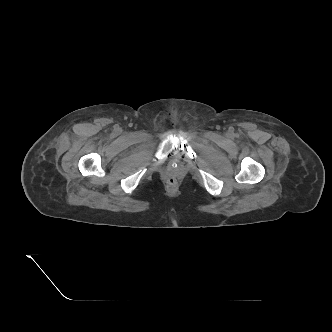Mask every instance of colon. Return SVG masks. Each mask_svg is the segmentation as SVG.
Instances as JSON below:
<instances>
[{
	"label": "colon",
	"instance_id": "obj_1",
	"mask_svg": "<svg viewBox=\"0 0 332 332\" xmlns=\"http://www.w3.org/2000/svg\"><path fill=\"white\" fill-rule=\"evenodd\" d=\"M168 183H169V185L173 186V185H175L176 181H175V179L170 178Z\"/></svg>",
	"mask_w": 332,
	"mask_h": 332
}]
</instances>
